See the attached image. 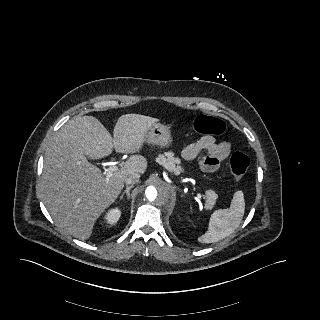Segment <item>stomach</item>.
<instances>
[{"instance_id": "0dacf381", "label": "stomach", "mask_w": 320, "mask_h": 320, "mask_svg": "<svg viewBox=\"0 0 320 320\" xmlns=\"http://www.w3.org/2000/svg\"><path fill=\"white\" fill-rule=\"evenodd\" d=\"M145 141L149 144L158 145L161 148H168L172 145L173 138L167 126L155 123L147 129Z\"/></svg>"}]
</instances>
